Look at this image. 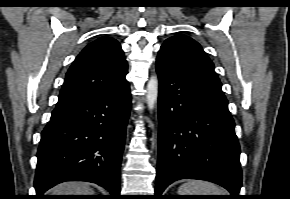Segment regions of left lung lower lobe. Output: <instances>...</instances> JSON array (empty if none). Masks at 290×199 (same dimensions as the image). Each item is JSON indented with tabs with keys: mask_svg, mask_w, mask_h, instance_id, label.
I'll return each instance as SVG.
<instances>
[{
	"mask_svg": "<svg viewBox=\"0 0 290 199\" xmlns=\"http://www.w3.org/2000/svg\"><path fill=\"white\" fill-rule=\"evenodd\" d=\"M156 195L180 179L219 184L239 199L242 171L235 123L221 83L189 71L159 51Z\"/></svg>",
	"mask_w": 290,
	"mask_h": 199,
	"instance_id": "obj_1",
	"label": "left lung lower lobe"
}]
</instances>
